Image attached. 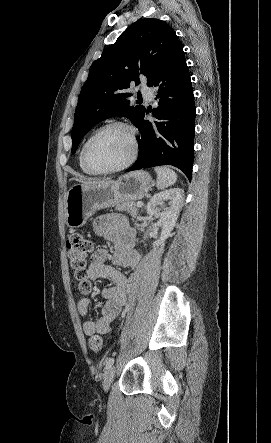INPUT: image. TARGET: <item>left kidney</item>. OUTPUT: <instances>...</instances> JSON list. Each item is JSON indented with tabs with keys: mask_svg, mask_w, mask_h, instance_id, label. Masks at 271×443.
<instances>
[{
	"mask_svg": "<svg viewBox=\"0 0 271 443\" xmlns=\"http://www.w3.org/2000/svg\"><path fill=\"white\" fill-rule=\"evenodd\" d=\"M183 200V190L173 188V190H166V192L156 194V196H153L150 202H148L147 214L154 216V218H159L160 225H162L161 235L154 241L153 245H161V243L169 237L177 222L178 214L181 208H183ZM166 202H168V204H166Z\"/></svg>",
	"mask_w": 271,
	"mask_h": 443,
	"instance_id": "left-kidney-1",
	"label": "left kidney"
}]
</instances>
